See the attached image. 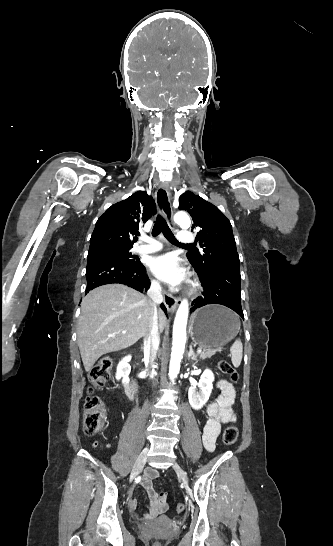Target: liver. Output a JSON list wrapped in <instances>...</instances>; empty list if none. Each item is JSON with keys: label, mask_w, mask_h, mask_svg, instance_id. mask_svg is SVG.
Segmentation results:
<instances>
[{"label": "liver", "mask_w": 333, "mask_h": 546, "mask_svg": "<svg viewBox=\"0 0 333 546\" xmlns=\"http://www.w3.org/2000/svg\"><path fill=\"white\" fill-rule=\"evenodd\" d=\"M152 311L151 300L122 284H107L90 291L82 301L77 327L85 370L89 372L102 355L127 348L146 337ZM164 326L165 315L159 310L160 332Z\"/></svg>", "instance_id": "liver-1"}]
</instances>
